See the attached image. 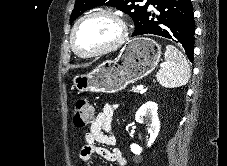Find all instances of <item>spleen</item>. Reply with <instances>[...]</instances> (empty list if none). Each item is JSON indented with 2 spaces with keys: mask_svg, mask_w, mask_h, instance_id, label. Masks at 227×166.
I'll return each mask as SVG.
<instances>
[{
  "mask_svg": "<svg viewBox=\"0 0 227 166\" xmlns=\"http://www.w3.org/2000/svg\"><path fill=\"white\" fill-rule=\"evenodd\" d=\"M191 76L186 56L173 45H167L165 63L156 74L159 84L166 88L185 85Z\"/></svg>",
  "mask_w": 227,
  "mask_h": 166,
  "instance_id": "3e777b00",
  "label": "spleen"
}]
</instances>
